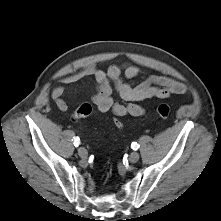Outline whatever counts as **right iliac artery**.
Returning a JSON list of instances; mask_svg holds the SVG:
<instances>
[{
	"instance_id": "82829eb1",
	"label": "right iliac artery",
	"mask_w": 221,
	"mask_h": 221,
	"mask_svg": "<svg viewBox=\"0 0 221 221\" xmlns=\"http://www.w3.org/2000/svg\"><path fill=\"white\" fill-rule=\"evenodd\" d=\"M79 144H80L79 138H78V137H77V138L74 137V146H75V147H78Z\"/></svg>"
}]
</instances>
